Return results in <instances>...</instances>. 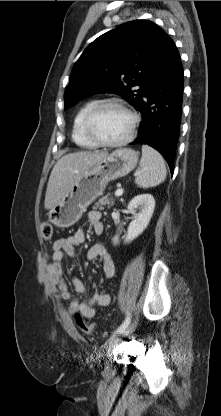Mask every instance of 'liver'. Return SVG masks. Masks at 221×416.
Masks as SVG:
<instances>
[{"instance_id":"1","label":"liver","mask_w":221,"mask_h":416,"mask_svg":"<svg viewBox=\"0 0 221 416\" xmlns=\"http://www.w3.org/2000/svg\"><path fill=\"white\" fill-rule=\"evenodd\" d=\"M108 156L107 152L69 153L55 164L47 184L45 209H52L71 189L80 175Z\"/></svg>"}]
</instances>
